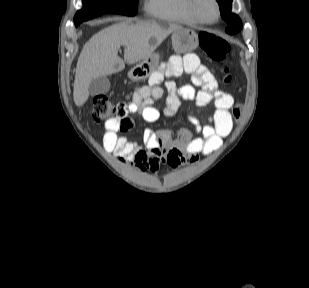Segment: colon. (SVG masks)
<instances>
[{"instance_id":"1","label":"colon","mask_w":309,"mask_h":288,"mask_svg":"<svg viewBox=\"0 0 309 288\" xmlns=\"http://www.w3.org/2000/svg\"><path fill=\"white\" fill-rule=\"evenodd\" d=\"M198 40L204 53L211 59L222 61L226 58L229 45L219 36L208 31H202L199 33ZM223 73L224 77L222 81L224 84H228L231 81L230 69L225 67ZM241 110L242 105L240 104L235 105L232 109V115L237 121L241 118ZM92 116L98 121L110 119H129L132 121V119L127 116L121 104L114 103L107 95L102 93L94 96Z\"/></svg>"}]
</instances>
